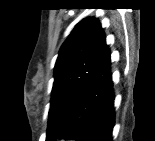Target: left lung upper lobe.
Returning <instances> with one entry per match:
<instances>
[{
  "label": "left lung upper lobe",
  "instance_id": "obj_1",
  "mask_svg": "<svg viewBox=\"0 0 155 141\" xmlns=\"http://www.w3.org/2000/svg\"><path fill=\"white\" fill-rule=\"evenodd\" d=\"M97 18H85L63 43L55 64L47 141H55L71 108L90 82L107 49Z\"/></svg>",
  "mask_w": 155,
  "mask_h": 141
}]
</instances>
